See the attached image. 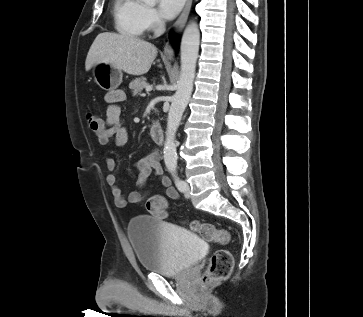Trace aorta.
Masks as SVG:
<instances>
[{
	"instance_id": "762f6f07",
	"label": "aorta",
	"mask_w": 363,
	"mask_h": 317,
	"mask_svg": "<svg viewBox=\"0 0 363 317\" xmlns=\"http://www.w3.org/2000/svg\"><path fill=\"white\" fill-rule=\"evenodd\" d=\"M147 4H154L156 0H142ZM200 44V31L196 22H190L184 30L181 40V67L177 82V89L173 95L168 113L166 139L164 143V162L168 170L177 167V152L175 137L182 115L193 91L196 62Z\"/></svg>"
}]
</instances>
